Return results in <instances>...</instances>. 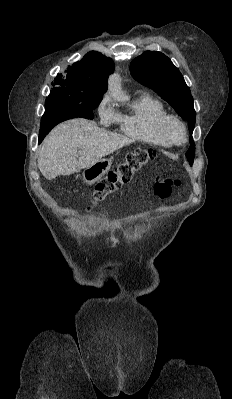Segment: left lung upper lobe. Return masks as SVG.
Segmentation results:
<instances>
[{
	"label": "left lung upper lobe",
	"mask_w": 232,
	"mask_h": 399,
	"mask_svg": "<svg viewBox=\"0 0 232 399\" xmlns=\"http://www.w3.org/2000/svg\"><path fill=\"white\" fill-rule=\"evenodd\" d=\"M130 72L135 80L151 88L168 102L188 122L192 134L196 118L193 98L182 74L171 60L161 52L146 51L131 62ZM194 156L195 144L190 137V148L186 157L191 166Z\"/></svg>",
	"instance_id": "5c2ea615"
}]
</instances>
